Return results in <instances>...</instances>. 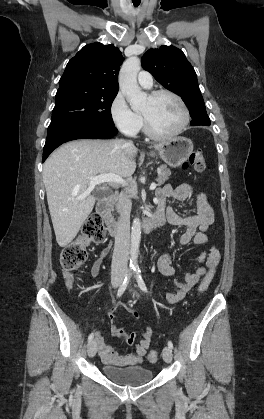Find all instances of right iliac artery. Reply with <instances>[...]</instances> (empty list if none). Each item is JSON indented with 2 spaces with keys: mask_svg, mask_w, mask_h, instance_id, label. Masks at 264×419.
Listing matches in <instances>:
<instances>
[{
  "mask_svg": "<svg viewBox=\"0 0 264 419\" xmlns=\"http://www.w3.org/2000/svg\"><path fill=\"white\" fill-rule=\"evenodd\" d=\"M129 280H130V275H127L118 289V292H117L118 297H120L125 292L127 285L129 283ZM93 338H94V333H91L88 337V342L92 341Z\"/></svg>",
  "mask_w": 264,
  "mask_h": 419,
  "instance_id": "right-iliac-artery-1",
  "label": "right iliac artery"
}]
</instances>
